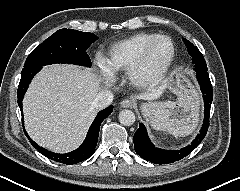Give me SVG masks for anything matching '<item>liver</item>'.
Wrapping results in <instances>:
<instances>
[{"label":"liver","mask_w":240,"mask_h":191,"mask_svg":"<svg viewBox=\"0 0 240 191\" xmlns=\"http://www.w3.org/2000/svg\"><path fill=\"white\" fill-rule=\"evenodd\" d=\"M100 82L91 69L70 64L44 67L32 80L23 100L29 136L56 153L79 147L97 114L92 102L100 91ZM164 87L137 98L157 99Z\"/></svg>","instance_id":"6515ba94"}]
</instances>
